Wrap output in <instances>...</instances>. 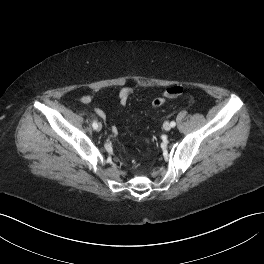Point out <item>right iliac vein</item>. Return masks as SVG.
<instances>
[{"label": "right iliac vein", "mask_w": 264, "mask_h": 264, "mask_svg": "<svg viewBox=\"0 0 264 264\" xmlns=\"http://www.w3.org/2000/svg\"><path fill=\"white\" fill-rule=\"evenodd\" d=\"M101 129H102V124L99 123V124H98V127H97V130L100 131Z\"/></svg>", "instance_id": "obj_1"}]
</instances>
